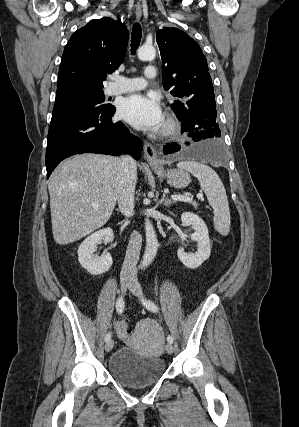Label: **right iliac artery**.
I'll list each match as a JSON object with an SVG mask.
<instances>
[{"label": "right iliac artery", "instance_id": "1", "mask_svg": "<svg viewBox=\"0 0 299 427\" xmlns=\"http://www.w3.org/2000/svg\"><path fill=\"white\" fill-rule=\"evenodd\" d=\"M124 307H125V302H124L122 297H119L117 299V302H116V310H117L118 314L123 313ZM110 338H111V333H107L105 335V341L110 340Z\"/></svg>", "mask_w": 299, "mask_h": 427}]
</instances>
